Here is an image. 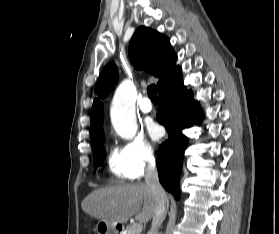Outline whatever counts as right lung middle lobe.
Returning a JSON list of instances; mask_svg holds the SVG:
<instances>
[{
	"instance_id": "right-lung-middle-lobe-1",
	"label": "right lung middle lobe",
	"mask_w": 279,
	"mask_h": 234,
	"mask_svg": "<svg viewBox=\"0 0 279 234\" xmlns=\"http://www.w3.org/2000/svg\"><path fill=\"white\" fill-rule=\"evenodd\" d=\"M104 143V137L98 139L95 143L92 144L93 154H94V168L101 166L105 158V150L102 146Z\"/></svg>"
}]
</instances>
